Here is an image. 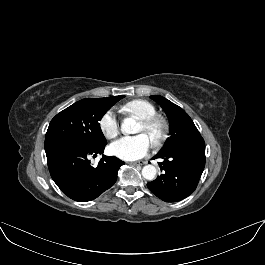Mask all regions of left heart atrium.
Masks as SVG:
<instances>
[{"label": "left heart atrium", "mask_w": 265, "mask_h": 265, "mask_svg": "<svg viewBox=\"0 0 265 265\" xmlns=\"http://www.w3.org/2000/svg\"><path fill=\"white\" fill-rule=\"evenodd\" d=\"M152 146L151 139L144 133L124 136L111 145V152L123 160H137L144 157Z\"/></svg>", "instance_id": "1"}]
</instances>
